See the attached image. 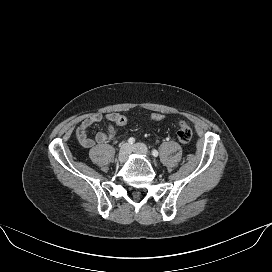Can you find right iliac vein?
<instances>
[{"instance_id":"obj_1","label":"right iliac vein","mask_w":272,"mask_h":272,"mask_svg":"<svg viewBox=\"0 0 272 272\" xmlns=\"http://www.w3.org/2000/svg\"><path fill=\"white\" fill-rule=\"evenodd\" d=\"M131 153V147L129 144L125 143L121 146L120 148V152H119V156H118V160L119 162H125L127 160V158L129 157Z\"/></svg>"}]
</instances>
